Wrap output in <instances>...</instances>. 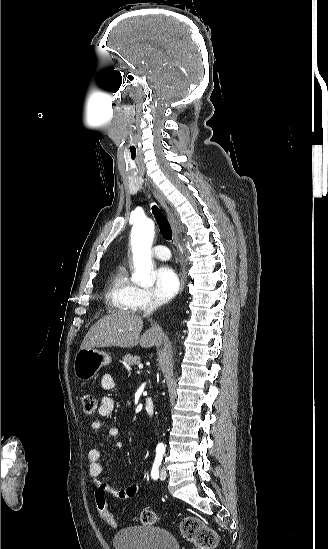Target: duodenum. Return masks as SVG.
Masks as SVG:
<instances>
[{
    "label": "duodenum",
    "instance_id": "1",
    "mask_svg": "<svg viewBox=\"0 0 328 549\" xmlns=\"http://www.w3.org/2000/svg\"><path fill=\"white\" fill-rule=\"evenodd\" d=\"M145 409L149 415H152L155 412V403L151 398L145 400Z\"/></svg>",
    "mask_w": 328,
    "mask_h": 549
}]
</instances>
